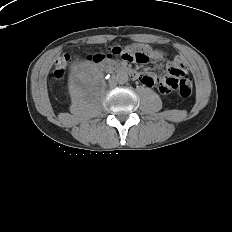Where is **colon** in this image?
Here are the masks:
<instances>
[{
	"mask_svg": "<svg viewBox=\"0 0 232 232\" xmlns=\"http://www.w3.org/2000/svg\"><path fill=\"white\" fill-rule=\"evenodd\" d=\"M152 55H154V53L149 48L134 51L131 48L122 49L114 47L109 49L106 54L96 53L94 55H91L89 58L94 60L95 62H100L104 59H110L115 56L120 57L127 62L145 64L150 60V57ZM155 55L158 56L157 53ZM67 62V56H61L60 58H58L55 68L53 70L54 78L60 79L63 77ZM162 89L168 92H177L180 97L188 98L191 95L192 88L191 83L188 79L187 72L172 65L169 76L167 77Z\"/></svg>",
	"mask_w": 232,
	"mask_h": 232,
	"instance_id": "colon-1",
	"label": "colon"
}]
</instances>
